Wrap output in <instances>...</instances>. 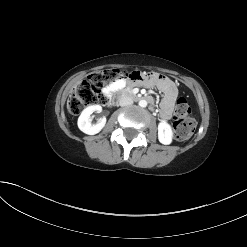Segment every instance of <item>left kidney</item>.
<instances>
[{
  "label": "left kidney",
  "instance_id": "1",
  "mask_svg": "<svg viewBox=\"0 0 247 247\" xmlns=\"http://www.w3.org/2000/svg\"><path fill=\"white\" fill-rule=\"evenodd\" d=\"M173 131L171 126L166 122H160L158 124V139L160 143L169 145L172 142Z\"/></svg>",
  "mask_w": 247,
  "mask_h": 247
}]
</instances>
